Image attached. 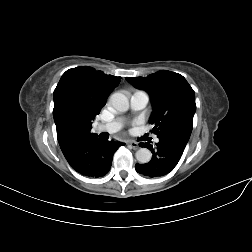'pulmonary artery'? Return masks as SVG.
<instances>
[{
  "label": "pulmonary artery",
  "mask_w": 252,
  "mask_h": 252,
  "mask_svg": "<svg viewBox=\"0 0 252 252\" xmlns=\"http://www.w3.org/2000/svg\"><path fill=\"white\" fill-rule=\"evenodd\" d=\"M149 102V96L144 91H137L131 96V108L135 111L141 110L146 107V105ZM122 124L119 119H116L114 121L99 124L96 127L97 132H106V133H115L118 130H120ZM156 142H159L158 139H156Z\"/></svg>",
  "instance_id": "obj_1"
}]
</instances>
